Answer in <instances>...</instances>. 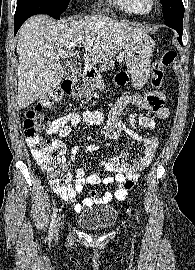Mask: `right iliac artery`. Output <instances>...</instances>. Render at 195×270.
<instances>
[{
	"label": "right iliac artery",
	"mask_w": 195,
	"mask_h": 270,
	"mask_svg": "<svg viewBox=\"0 0 195 270\" xmlns=\"http://www.w3.org/2000/svg\"><path fill=\"white\" fill-rule=\"evenodd\" d=\"M57 211H58V209L55 208L54 211H53V214H52L51 223H50V227H49V239L52 238L53 233H54L56 217H57Z\"/></svg>",
	"instance_id": "1"
}]
</instances>
